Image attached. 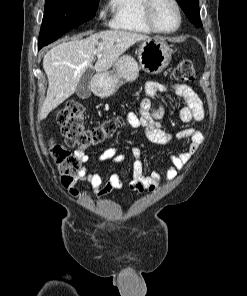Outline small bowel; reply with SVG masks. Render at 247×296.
Wrapping results in <instances>:
<instances>
[{
  "mask_svg": "<svg viewBox=\"0 0 247 296\" xmlns=\"http://www.w3.org/2000/svg\"><path fill=\"white\" fill-rule=\"evenodd\" d=\"M170 90H173L183 103L178 111V117L184 124L190 125L201 121L205 116L203 104L197 93L190 86L185 84L169 85L158 81H148L146 83L145 97L140 104V115L129 112L127 114L129 125L135 129H143L147 139L152 143L164 144L177 140L186 142L187 147L170 155V164L164 172L152 170L148 175L144 174L141 150L138 147L131 148L130 151L134 161L129 188L138 193L154 192L162 177L167 182L174 181L204 140L203 134L191 126H187L175 134L162 129L161 119L164 114V108L157 94ZM152 98H155L154 105L151 103ZM74 154L80 161V168L76 179L88 182L98 197L107 196L113 190L123 187V183L117 173H112L104 179L99 172L89 171L88 162L90 157L87 154L82 151H76ZM100 159L103 161L120 162L124 159V154L120 153L117 148H109L101 154ZM69 192L74 197H79L80 195L79 191L73 186L69 187Z\"/></svg>",
  "mask_w": 247,
  "mask_h": 296,
  "instance_id": "small-bowel-1",
  "label": "small bowel"
}]
</instances>
